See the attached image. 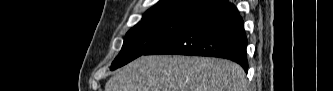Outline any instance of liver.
I'll list each match as a JSON object with an SVG mask.
<instances>
[{
	"instance_id": "liver-1",
	"label": "liver",
	"mask_w": 333,
	"mask_h": 91,
	"mask_svg": "<svg viewBox=\"0 0 333 91\" xmlns=\"http://www.w3.org/2000/svg\"><path fill=\"white\" fill-rule=\"evenodd\" d=\"M242 67L216 58L141 56L119 70L105 91H247Z\"/></svg>"
}]
</instances>
